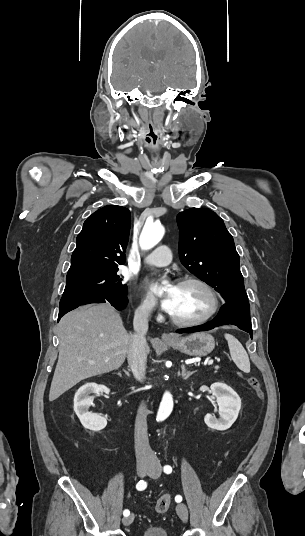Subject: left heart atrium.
Segmentation results:
<instances>
[{
	"label": "left heart atrium",
	"instance_id": "obj_1",
	"mask_svg": "<svg viewBox=\"0 0 305 536\" xmlns=\"http://www.w3.org/2000/svg\"><path fill=\"white\" fill-rule=\"evenodd\" d=\"M143 287L149 296L154 297L157 292V281L154 278H147L144 281ZM173 289V288H172ZM172 289L160 299L162 308L170 311L173 306L174 296Z\"/></svg>",
	"mask_w": 305,
	"mask_h": 536
}]
</instances>
